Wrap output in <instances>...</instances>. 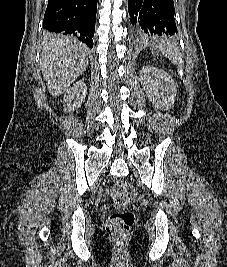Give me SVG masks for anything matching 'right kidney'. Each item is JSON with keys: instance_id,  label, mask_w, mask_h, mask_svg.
<instances>
[{"instance_id": "ca27d5eb", "label": "right kidney", "mask_w": 227, "mask_h": 267, "mask_svg": "<svg viewBox=\"0 0 227 267\" xmlns=\"http://www.w3.org/2000/svg\"><path fill=\"white\" fill-rule=\"evenodd\" d=\"M87 93V86L84 81H77L64 95L63 104L67 111H74L80 108Z\"/></svg>"}]
</instances>
